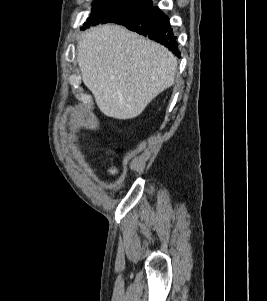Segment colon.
<instances>
[{
    "mask_svg": "<svg viewBox=\"0 0 267 301\" xmlns=\"http://www.w3.org/2000/svg\"><path fill=\"white\" fill-rule=\"evenodd\" d=\"M111 173H115V169L114 168L111 169Z\"/></svg>",
    "mask_w": 267,
    "mask_h": 301,
    "instance_id": "1",
    "label": "colon"
}]
</instances>
